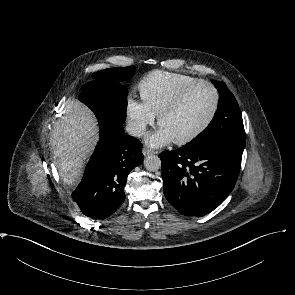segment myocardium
<instances>
[{
	"instance_id": "myocardium-1",
	"label": "myocardium",
	"mask_w": 295,
	"mask_h": 295,
	"mask_svg": "<svg viewBox=\"0 0 295 295\" xmlns=\"http://www.w3.org/2000/svg\"><path fill=\"white\" fill-rule=\"evenodd\" d=\"M199 85L208 86L214 94L215 102H214V107H213L212 113L209 116V118L207 119V121L199 129H197L194 133H192L191 135H189L185 138L174 140L175 143L178 145H187V144H190V143L196 141L211 127V125L213 124V122L215 121V119L218 115V112L220 109V104H221V96H220V93H219L217 87L209 80L198 79V80L192 82L191 84L187 85L186 87H184L182 90H180L175 95V97L161 110V112L158 115V123L161 125L162 120L167 115H169L170 113L177 110L180 107V105L182 104V102L184 101V99L187 97V95L195 87H197Z\"/></svg>"
}]
</instances>
